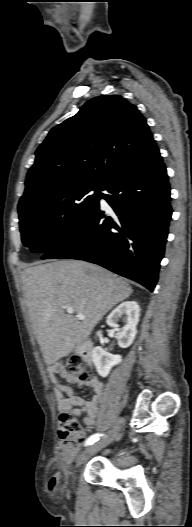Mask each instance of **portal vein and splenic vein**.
<instances>
[{
    "label": "portal vein and splenic vein",
    "mask_w": 192,
    "mask_h": 527,
    "mask_svg": "<svg viewBox=\"0 0 192 527\" xmlns=\"http://www.w3.org/2000/svg\"><path fill=\"white\" fill-rule=\"evenodd\" d=\"M64 309L66 310V312H67L68 314H73V312H74L73 308L70 307V306H66V307H64ZM77 317H78L79 319H84V318H85V316H84L83 314H78Z\"/></svg>",
    "instance_id": "portal-vein-and-splenic-vein-1"
}]
</instances>
